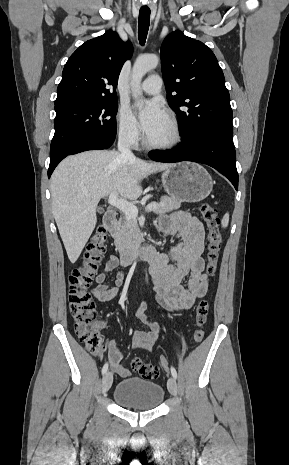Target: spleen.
Returning <instances> with one entry per match:
<instances>
[{"instance_id": "spleen-1", "label": "spleen", "mask_w": 289, "mask_h": 465, "mask_svg": "<svg viewBox=\"0 0 289 465\" xmlns=\"http://www.w3.org/2000/svg\"><path fill=\"white\" fill-rule=\"evenodd\" d=\"M228 223H229V213L227 212L222 218V222H221L222 227L226 228L228 226Z\"/></svg>"}]
</instances>
